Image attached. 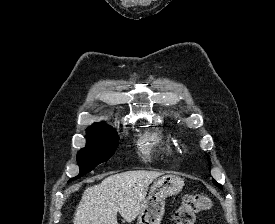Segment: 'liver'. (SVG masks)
<instances>
[{
    "instance_id": "obj_1",
    "label": "liver",
    "mask_w": 275,
    "mask_h": 224,
    "mask_svg": "<svg viewBox=\"0 0 275 224\" xmlns=\"http://www.w3.org/2000/svg\"><path fill=\"white\" fill-rule=\"evenodd\" d=\"M157 171H127L87 187L76 208L74 224H118L117 213L131 223L144 208L150 183Z\"/></svg>"
}]
</instances>
